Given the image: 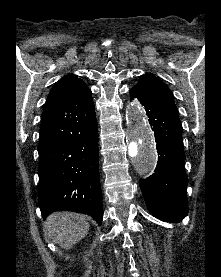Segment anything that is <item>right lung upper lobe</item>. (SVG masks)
Masks as SVG:
<instances>
[{"label":"right lung upper lobe","instance_id":"1","mask_svg":"<svg viewBox=\"0 0 221 277\" xmlns=\"http://www.w3.org/2000/svg\"><path fill=\"white\" fill-rule=\"evenodd\" d=\"M88 90L89 88L82 79L77 78L76 75L70 74L64 76L55 84L48 95L46 104L71 99Z\"/></svg>","mask_w":221,"mask_h":277}]
</instances>
